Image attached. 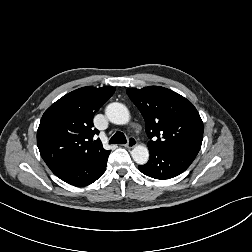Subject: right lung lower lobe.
Listing matches in <instances>:
<instances>
[{
    "instance_id": "right-lung-lower-lobe-1",
    "label": "right lung lower lobe",
    "mask_w": 252,
    "mask_h": 252,
    "mask_svg": "<svg viewBox=\"0 0 252 252\" xmlns=\"http://www.w3.org/2000/svg\"><path fill=\"white\" fill-rule=\"evenodd\" d=\"M107 158L83 160L68 165L54 174L61 180L74 186H86L96 181L105 172Z\"/></svg>"
}]
</instances>
